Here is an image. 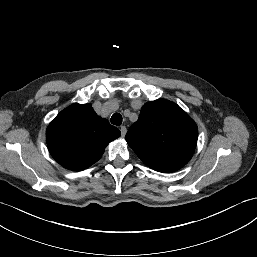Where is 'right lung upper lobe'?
Segmentation results:
<instances>
[{
  "instance_id": "right-lung-upper-lobe-1",
  "label": "right lung upper lobe",
  "mask_w": 257,
  "mask_h": 257,
  "mask_svg": "<svg viewBox=\"0 0 257 257\" xmlns=\"http://www.w3.org/2000/svg\"><path fill=\"white\" fill-rule=\"evenodd\" d=\"M91 104L74 103L62 110L46 131L48 149L63 167L81 171L100 159L106 146L120 136Z\"/></svg>"
}]
</instances>
